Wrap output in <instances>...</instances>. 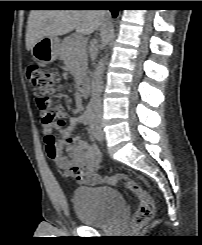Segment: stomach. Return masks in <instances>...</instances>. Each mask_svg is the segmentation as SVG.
Instances as JSON below:
<instances>
[{"label":"stomach","instance_id":"0dacf381","mask_svg":"<svg viewBox=\"0 0 202 245\" xmlns=\"http://www.w3.org/2000/svg\"><path fill=\"white\" fill-rule=\"evenodd\" d=\"M60 40L57 37H44L32 47L31 54L40 63H50L60 54Z\"/></svg>","mask_w":202,"mask_h":245}]
</instances>
